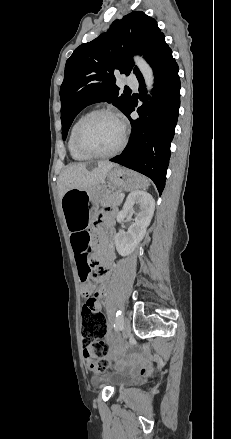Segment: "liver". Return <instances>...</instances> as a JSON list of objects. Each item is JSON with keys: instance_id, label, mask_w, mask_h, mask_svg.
<instances>
[{"instance_id": "6515ba94", "label": "liver", "mask_w": 231, "mask_h": 439, "mask_svg": "<svg viewBox=\"0 0 231 439\" xmlns=\"http://www.w3.org/2000/svg\"><path fill=\"white\" fill-rule=\"evenodd\" d=\"M115 167L108 161L98 162L97 167L87 169L86 163H74L65 167L58 179V193L60 199L70 189L90 190L104 182L108 172Z\"/></svg>"}]
</instances>
